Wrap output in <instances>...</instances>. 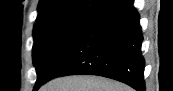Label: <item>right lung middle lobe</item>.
<instances>
[{
  "label": "right lung middle lobe",
  "mask_w": 173,
  "mask_h": 91,
  "mask_svg": "<svg viewBox=\"0 0 173 91\" xmlns=\"http://www.w3.org/2000/svg\"><path fill=\"white\" fill-rule=\"evenodd\" d=\"M87 20L66 19L34 26L33 62L37 72L35 86L45 80L54 63Z\"/></svg>",
  "instance_id": "obj_1"
}]
</instances>
